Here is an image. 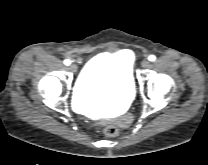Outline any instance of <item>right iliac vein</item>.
I'll use <instances>...</instances> for the list:
<instances>
[{"mask_svg":"<svg viewBox=\"0 0 208 165\" xmlns=\"http://www.w3.org/2000/svg\"><path fill=\"white\" fill-rule=\"evenodd\" d=\"M69 69L74 73L77 72V66L75 64H70Z\"/></svg>","mask_w":208,"mask_h":165,"instance_id":"63e3f726","label":"right iliac vein"}]
</instances>
